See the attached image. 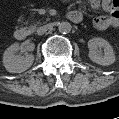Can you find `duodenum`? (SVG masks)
I'll return each instance as SVG.
<instances>
[{
	"label": "duodenum",
	"instance_id": "duodenum-1",
	"mask_svg": "<svg viewBox=\"0 0 119 119\" xmlns=\"http://www.w3.org/2000/svg\"><path fill=\"white\" fill-rule=\"evenodd\" d=\"M67 17L69 20L75 23L82 20V14L77 11L68 13ZM14 36L17 40H24L28 36V32L25 28H18L15 30Z\"/></svg>",
	"mask_w": 119,
	"mask_h": 119
}]
</instances>
